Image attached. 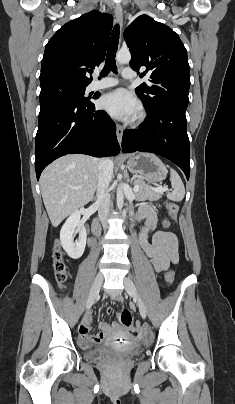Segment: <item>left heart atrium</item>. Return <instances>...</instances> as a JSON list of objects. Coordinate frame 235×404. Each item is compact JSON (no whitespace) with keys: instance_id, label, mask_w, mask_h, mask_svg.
Wrapping results in <instances>:
<instances>
[{"instance_id":"39dd6f15","label":"left heart atrium","mask_w":235,"mask_h":404,"mask_svg":"<svg viewBox=\"0 0 235 404\" xmlns=\"http://www.w3.org/2000/svg\"><path fill=\"white\" fill-rule=\"evenodd\" d=\"M101 106L112 116L123 120L134 118L140 109L137 99L125 89L106 94L102 98Z\"/></svg>"}]
</instances>
